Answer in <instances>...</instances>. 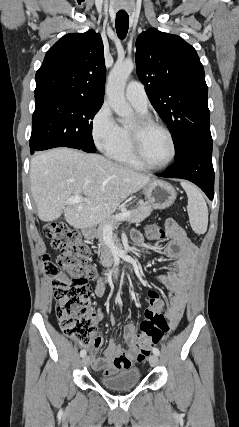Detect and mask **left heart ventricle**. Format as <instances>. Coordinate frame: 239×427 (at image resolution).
<instances>
[{"instance_id": "obj_1", "label": "left heart ventricle", "mask_w": 239, "mask_h": 427, "mask_svg": "<svg viewBox=\"0 0 239 427\" xmlns=\"http://www.w3.org/2000/svg\"><path fill=\"white\" fill-rule=\"evenodd\" d=\"M134 120L130 127L134 126ZM142 149L144 157L151 164H162L172 154V146L168 136L157 128L148 129L143 135Z\"/></svg>"}]
</instances>
